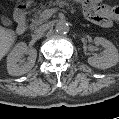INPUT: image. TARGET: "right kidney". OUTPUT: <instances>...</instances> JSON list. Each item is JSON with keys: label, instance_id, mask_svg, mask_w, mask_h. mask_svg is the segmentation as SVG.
<instances>
[{"label": "right kidney", "instance_id": "ca27d5eb", "mask_svg": "<svg viewBox=\"0 0 119 119\" xmlns=\"http://www.w3.org/2000/svg\"><path fill=\"white\" fill-rule=\"evenodd\" d=\"M24 54H29L28 61L23 62ZM37 58V51L35 49H28L26 43H18L7 57V70L12 76H21L29 72L35 65Z\"/></svg>", "mask_w": 119, "mask_h": 119}]
</instances>
